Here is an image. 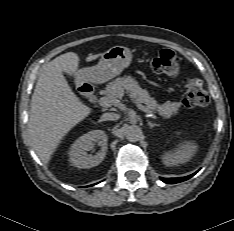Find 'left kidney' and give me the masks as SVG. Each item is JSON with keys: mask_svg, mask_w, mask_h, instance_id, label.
<instances>
[{"mask_svg": "<svg viewBox=\"0 0 234 231\" xmlns=\"http://www.w3.org/2000/svg\"><path fill=\"white\" fill-rule=\"evenodd\" d=\"M198 146L194 142L186 141L174 150L164 152L161 159L166 166H177L191 159L196 153Z\"/></svg>", "mask_w": 234, "mask_h": 231, "instance_id": "5707ae66", "label": "left kidney"}]
</instances>
